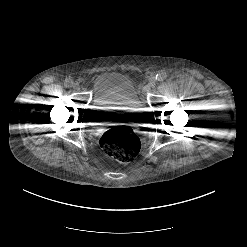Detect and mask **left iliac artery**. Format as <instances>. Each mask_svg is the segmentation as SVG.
Here are the masks:
<instances>
[{"mask_svg":"<svg viewBox=\"0 0 247 247\" xmlns=\"http://www.w3.org/2000/svg\"><path fill=\"white\" fill-rule=\"evenodd\" d=\"M166 77H167L166 73L159 72V73L156 74V77L155 78L158 81H163L164 79H166Z\"/></svg>","mask_w":247,"mask_h":247,"instance_id":"1","label":"left iliac artery"}]
</instances>
